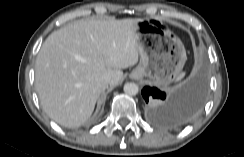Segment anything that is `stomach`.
I'll return each instance as SVG.
<instances>
[{"label": "stomach", "instance_id": "0dacf381", "mask_svg": "<svg viewBox=\"0 0 244 157\" xmlns=\"http://www.w3.org/2000/svg\"><path fill=\"white\" fill-rule=\"evenodd\" d=\"M135 35L140 61L130 77H145L156 86H165L176 79L187 59L180 38L157 18L140 19Z\"/></svg>", "mask_w": 244, "mask_h": 157}]
</instances>
